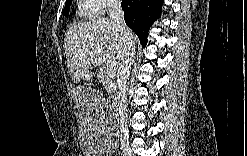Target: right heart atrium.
<instances>
[{"mask_svg": "<svg viewBox=\"0 0 247 156\" xmlns=\"http://www.w3.org/2000/svg\"><path fill=\"white\" fill-rule=\"evenodd\" d=\"M92 2L96 5L98 14H104L118 4L115 0H95Z\"/></svg>", "mask_w": 247, "mask_h": 156, "instance_id": "d8ad5b80", "label": "right heart atrium"}]
</instances>
